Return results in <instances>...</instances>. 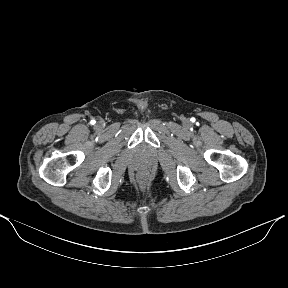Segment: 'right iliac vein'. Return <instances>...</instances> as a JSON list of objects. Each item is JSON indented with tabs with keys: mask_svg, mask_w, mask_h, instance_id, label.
<instances>
[{
	"mask_svg": "<svg viewBox=\"0 0 288 288\" xmlns=\"http://www.w3.org/2000/svg\"><path fill=\"white\" fill-rule=\"evenodd\" d=\"M101 127H102V123H98L97 128H101Z\"/></svg>",
	"mask_w": 288,
	"mask_h": 288,
	"instance_id": "obj_1",
	"label": "right iliac vein"
}]
</instances>
